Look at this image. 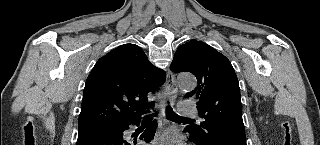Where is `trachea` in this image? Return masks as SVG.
<instances>
[{
  "instance_id": "obj_1",
  "label": "trachea",
  "mask_w": 320,
  "mask_h": 145,
  "mask_svg": "<svg viewBox=\"0 0 320 145\" xmlns=\"http://www.w3.org/2000/svg\"><path fill=\"white\" fill-rule=\"evenodd\" d=\"M166 116L168 119H171V120L189 119V118L182 117V116H179L178 114H176L170 106H167V108H166ZM151 120H152V118H150V117L143 119V121H151Z\"/></svg>"
}]
</instances>
